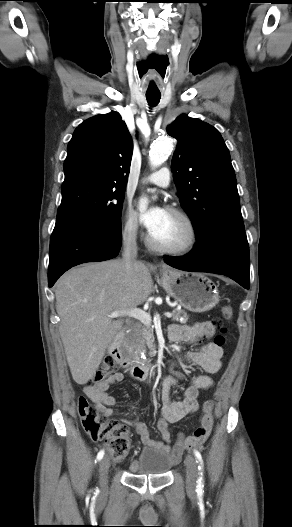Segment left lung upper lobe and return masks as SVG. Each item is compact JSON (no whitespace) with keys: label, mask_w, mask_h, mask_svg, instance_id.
<instances>
[{"label":"left lung upper lobe","mask_w":292,"mask_h":527,"mask_svg":"<svg viewBox=\"0 0 292 527\" xmlns=\"http://www.w3.org/2000/svg\"><path fill=\"white\" fill-rule=\"evenodd\" d=\"M167 133L179 142L172 171L196 239L228 230L245 231L230 154L218 130L181 115L167 127Z\"/></svg>","instance_id":"1"}]
</instances>
